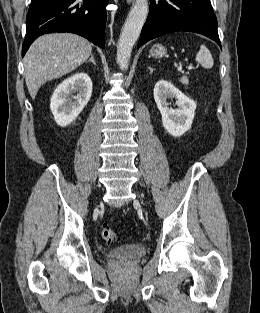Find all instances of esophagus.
<instances>
[{
  "instance_id": "34e87169",
  "label": "esophagus",
  "mask_w": 260,
  "mask_h": 313,
  "mask_svg": "<svg viewBox=\"0 0 260 313\" xmlns=\"http://www.w3.org/2000/svg\"><path fill=\"white\" fill-rule=\"evenodd\" d=\"M133 0H127V3L130 4Z\"/></svg>"
}]
</instances>
